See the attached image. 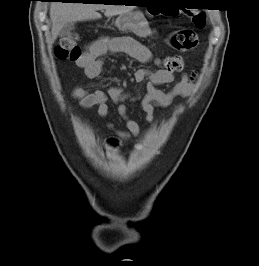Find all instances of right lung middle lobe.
<instances>
[{
  "mask_svg": "<svg viewBox=\"0 0 259 266\" xmlns=\"http://www.w3.org/2000/svg\"><path fill=\"white\" fill-rule=\"evenodd\" d=\"M64 1H68V0H64ZM87 2H92V1H95V0H85ZM63 2V1H62Z\"/></svg>",
  "mask_w": 259,
  "mask_h": 266,
  "instance_id": "obj_1",
  "label": "right lung middle lobe"
}]
</instances>
